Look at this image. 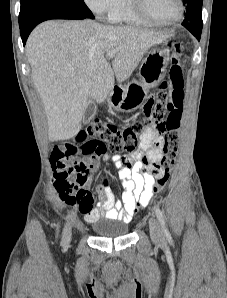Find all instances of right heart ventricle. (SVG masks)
<instances>
[{"label":"right heart ventricle","mask_w":227,"mask_h":298,"mask_svg":"<svg viewBox=\"0 0 227 298\" xmlns=\"http://www.w3.org/2000/svg\"><path fill=\"white\" fill-rule=\"evenodd\" d=\"M107 16L111 23L130 26H146L149 24L134 13L130 6V0H118L116 7Z\"/></svg>","instance_id":"e07e8e85"}]
</instances>
